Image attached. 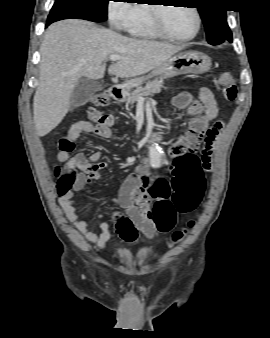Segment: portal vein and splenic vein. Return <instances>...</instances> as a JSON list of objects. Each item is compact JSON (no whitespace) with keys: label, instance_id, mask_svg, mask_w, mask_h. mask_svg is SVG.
Instances as JSON below:
<instances>
[{"label":"portal vein and splenic vein","instance_id":"18ae733b","mask_svg":"<svg viewBox=\"0 0 270 338\" xmlns=\"http://www.w3.org/2000/svg\"><path fill=\"white\" fill-rule=\"evenodd\" d=\"M120 59H122V57L119 56V55H110V57H109V60L112 61V62L118 61Z\"/></svg>","mask_w":270,"mask_h":338}]
</instances>
